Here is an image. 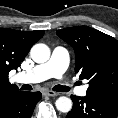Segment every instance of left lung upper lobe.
Returning a JSON list of instances; mask_svg holds the SVG:
<instances>
[{"label":"left lung upper lobe","mask_w":118,"mask_h":118,"mask_svg":"<svg viewBox=\"0 0 118 118\" xmlns=\"http://www.w3.org/2000/svg\"><path fill=\"white\" fill-rule=\"evenodd\" d=\"M75 50V72L89 80L87 95L118 101V41L87 26L57 30Z\"/></svg>","instance_id":"1"}]
</instances>
